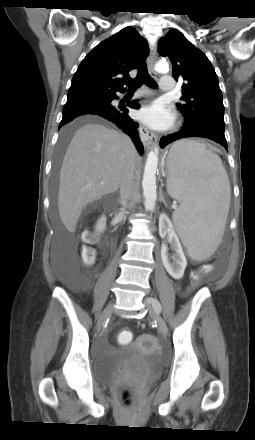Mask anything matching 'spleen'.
<instances>
[{"label":"spleen","instance_id":"1","mask_svg":"<svg viewBox=\"0 0 255 440\" xmlns=\"http://www.w3.org/2000/svg\"><path fill=\"white\" fill-rule=\"evenodd\" d=\"M167 191L180 202L173 214L189 255L204 260L217 249L225 230L231 189L220 157L204 144L182 140L169 153Z\"/></svg>","mask_w":255,"mask_h":440}]
</instances>
